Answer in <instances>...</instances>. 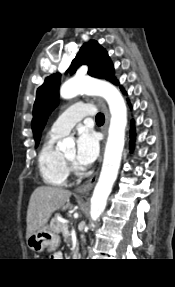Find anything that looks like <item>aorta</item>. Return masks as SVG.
<instances>
[{"label":"aorta","instance_id":"obj_1","mask_svg":"<svg viewBox=\"0 0 175 287\" xmlns=\"http://www.w3.org/2000/svg\"><path fill=\"white\" fill-rule=\"evenodd\" d=\"M79 93H94L103 97L111 113L108 138L98 182L91 198L90 217L96 221L104 211L112 186L117 178L127 126V108L120 91L112 84L101 81H88L73 78L64 83L60 96L70 99ZM61 151L74 147V141L66 138L58 143ZM93 226V223L91 224Z\"/></svg>","mask_w":175,"mask_h":287}]
</instances>
